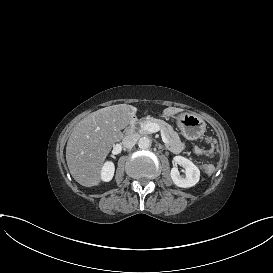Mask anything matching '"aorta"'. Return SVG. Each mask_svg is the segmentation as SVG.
Returning <instances> with one entry per match:
<instances>
[{
  "mask_svg": "<svg viewBox=\"0 0 273 273\" xmlns=\"http://www.w3.org/2000/svg\"><path fill=\"white\" fill-rule=\"evenodd\" d=\"M138 146L140 149L146 150V149L150 148L151 141L148 137H142L139 139Z\"/></svg>",
  "mask_w": 273,
  "mask_h": 273,
  "instance_id": "aorta-1",
  "label": "aorta"
}]
</instances>
